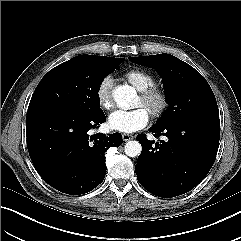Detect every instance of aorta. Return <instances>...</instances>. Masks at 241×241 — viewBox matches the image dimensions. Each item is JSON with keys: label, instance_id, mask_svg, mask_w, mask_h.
I'll return each instance as SVG.
<instances>
[{"label": "aorta", "instance_id": "obj_1", "mask_svg": "<svg viewBox=\"0 0 241 241\" xmlns=\"http://www.w3.org/2000/svg\"><path fill=\"white\" fill-rule=\"evenodd\" d=\"M112 94L116 104L124 110L131 109L133 101L137 96L135 89L129 85L117 86ZM141 151L142 146L136 140L128 141L124 146V152L129 157L139 156Z\"/></svg>", "mask_w": 241, "mask_h": 241}]
</instances>
